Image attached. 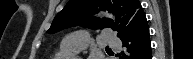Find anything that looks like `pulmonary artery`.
Wrapping results in <instances>:
<instances>
[{
    "instance_id": "e3ab8cb5",
    "label": "pulmonary artery",
    "mask_w": 193,
    "mask_h": 59,
    "mask_svg": "<svg viewBox=\"0 0 193 59\" xmlns=\"http://www.w3.org/2000/svg\"><path fill=\"white\" fill-rule=\"evenodd\" d=\"M90 41L91 36L84 31L67 34L63 40L61 49L65 51L79 52L85 49ZM106 41L109 46H122L121 40L116 35L108 36Z\"/></svg>"
}]
</instances>
